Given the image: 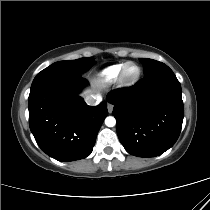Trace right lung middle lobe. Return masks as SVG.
<instances>
[{
	"mask_svg": "<svg viewBox=\"0 0 210 210\" xmlns=\"http://www.w3.org/2000/svg\"><path fill=\"white\" fill-rule=\"evenodd\" d=\"M94 64L95 61L94 58L92 57L80 58L77 60L59 61L45 68L40 73L56 71V72H67L73 74H82Z\"/></svg>",
	"mask_w": 210,
	"mask_h": 210,
	"instance_id": "dd1d6c3e",
	"label": "right lung middle lobe"
}]
</instances>
